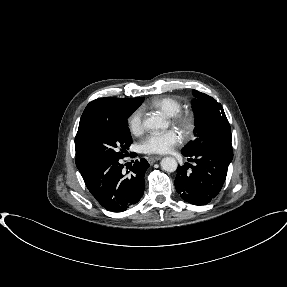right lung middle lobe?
<instances>
[{"label":"right lung middle lobe","instance_id":"obj_1","mask_svg":"<svg viewBox=\"0 0 287 287\" xmlns=\"http://www.w3.org/2000/svg\"><path fill=\"white\" fill-rule=\"evenodd\" d=\"M135 109L105 119L87 138L88 163L92 166L103 161L121 159L132 143L127 119Z\"/></svg>","mask_w":287,"mask_h":287}]
</instances>
